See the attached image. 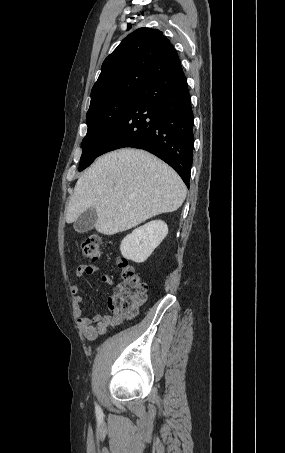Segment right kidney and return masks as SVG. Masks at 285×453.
<instances>
[{
    "instance_id": "obj_1",
    "label": "right kidney",
    "mask_w": 285,
    "mask_h": 453,
    "mask_svg": "<svg viewBox=\"0 0 285 453\" xmlns=\"http://www.w3.org/2000/svg\"><path fill=\"white\" fill-rule=\"evenodd\" d=\"M168 233V226L162 220H153L133 230L121 242L120 251L124 258L142 263Z\"/></svg>"
}]
</instances>
